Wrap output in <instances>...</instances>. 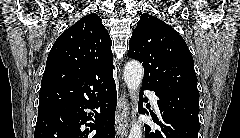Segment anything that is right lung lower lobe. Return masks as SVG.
Returning <instances> with one entry per match:
<instances>
[{"label": "right lung lower lobe", "mask_w": 240, "mask_h": 138, "mask_svg": "<svg viewBox=\"0 0 240 138\" xmlns=\"http://www.w3.org/2000/svg\"><path fill=\"white\" fill-rule=\"evenodd\" d=\"M116 97L113 79L87 98L40 112L34 138H114ZM99 106L101 113H95L93 120L85 110ZM90 120L94 123H87Z\"/></svg>", "instance_id": "98d812e1"}]
</instances>
